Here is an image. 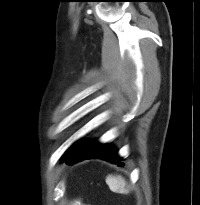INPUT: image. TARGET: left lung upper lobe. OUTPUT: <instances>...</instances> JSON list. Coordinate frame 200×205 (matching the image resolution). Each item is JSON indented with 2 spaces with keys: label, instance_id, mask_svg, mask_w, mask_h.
<instances>
[{
  "label": "left lung upper lobe",
  "instance_id": "5c2ea615",
  "mask_svg": "<svg viewBox=\"0 0 200 205\" xmlns=\"http://www.w3.org/2000/svg\"><path fill=\"white\" fill-rule=\"evenodd\" d=\"M78 147V142H76L75 144H73L64 154V158L67 157L68 155H70L76 148Z\"/></svg>",
  "mask_w": 200,
  "mask_h": 205
}]
</instances>
